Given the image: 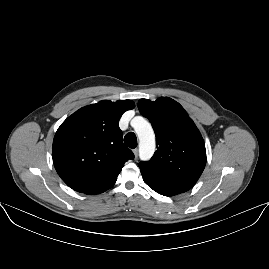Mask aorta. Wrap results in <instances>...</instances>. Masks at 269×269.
Wrapping results in <instances>:
<instances>
[{"label": "aorta", "instance_id": "762f6f07", "mask_svg": "<svg viewBox=\"0 0 269 269\" xmlns=\"http://www.w3.org/2000/svg\"><path fill=\"white\" fill-rule=\"evenodd\" d=\"M132 122L135 124L134 129L139 138V154L143 160L152 157L155 150V134L152 126L143 117L136 116Z\"/></svg>", "mask_w": 269, "mask_h": 269}]
</instances>
